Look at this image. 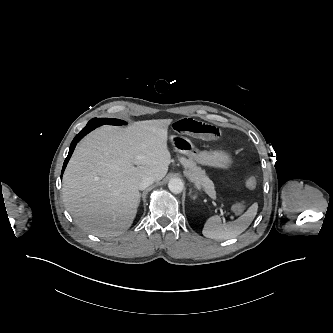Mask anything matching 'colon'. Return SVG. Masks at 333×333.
<instances>
[{
    "mask_svg": "<svg viewBox=\"0 0 333 333\" xmlns=\"http://www.w3.org/2000/svg\"><path fill=\"white\" fill-rule=\"evenodd\" d=\"M257 180L254 177H248L245 180V186L248 189H255L257 187ZM246 209V204L243 201H239L235 203L232 207V211L235 215H240Z\"/></svg>",
    "mask_w": 333,
    "mask_h": 333,
    "instance_id": "colon-1",
    "label": "colon"
}]
</instances>
